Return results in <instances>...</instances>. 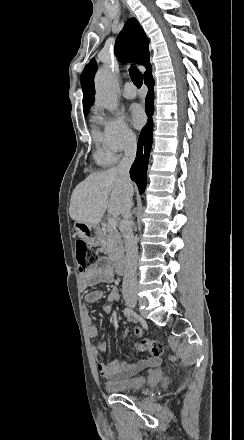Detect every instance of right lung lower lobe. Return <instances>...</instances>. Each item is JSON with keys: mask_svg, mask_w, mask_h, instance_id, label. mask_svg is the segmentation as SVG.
Here are the masks:
<instances>
[{"mask_svg": "<svg viewBox=\"0 0 244 440\" xmlns=\"http://www.w3.org/2000/svg\"><path fill=\"white\" fill-rule=\"evenodd\" d=\"M144 83L148 86L149 91L146 96V113L148 118L147 124L143 127L139 141L136 160L130 169V177L137 184L140 194H142L146 187L147 181V166L149 154L152 146V114L154 109V80L151 74V69L144 74Z\"/></svg>", "mask_w": 244, "mask_h": 440, "instance_id": "98d812e1", "label": "right lung lower lobe"}]
</instances>
